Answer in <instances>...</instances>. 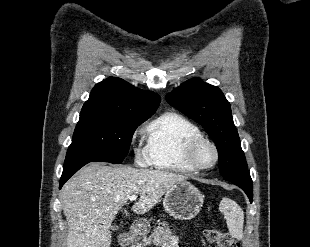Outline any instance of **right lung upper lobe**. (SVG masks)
I'll return each mask as SVG.
<instances>
[{
	"instance_id": "cb5924a9",
	"label": "right lung upper lobe",
	"mask_w": 310,
	"mask_h": 247,
	"mask_svg": "<svg viewBox=\"0 0 310 247\" xmlns=\"http://www.w3.org/2000/svg\"><path fill=\"white\" fill-rule=\"evenodd\" d=\"M159 103L158 94L140 90L120 78L110 77L93 88L81 114L148 117L155 113Z\"/></svg>"
}]
</instances>
